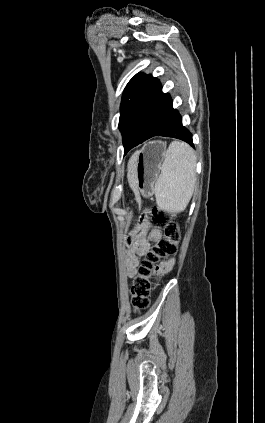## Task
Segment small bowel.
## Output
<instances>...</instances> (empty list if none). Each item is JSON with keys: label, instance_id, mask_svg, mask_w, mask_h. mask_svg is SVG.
<instances>
[{"label": "small bowel", "instance_id": "c3829d8e", "mask_svg": "<svg viewBox=\"0 0 265 423\" xmlns=\"http://www.w3.org/2000/svg\"><path fill=\"white\" fill-rule=\"evenodd\" d=\"M159 237L160 231L157 229H152L149 232H145L141 238L129 249L126 255V270L130 278H133L137 274L140 260L147 252L151 242L156 241ZM174 265V259L162 262L156 267V273L166 274L173 269Z\"/></svg>", "mask_w": 265, "mask_h": 423}]
</instances>
